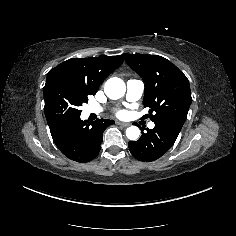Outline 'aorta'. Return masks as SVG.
I'll use <instances>...</instances> for the list:
<instances>
[{
    "label": "aorta",
    "mask_w": 236,
    "mask_h": 236,
    "mask_svg": "<svg viewBox=\"0 0 236 236\" xmlns=\"http://www.w3.org/2000/svg\"><path fill=\"white\" fill-rule=\"evenodd\" d=\"M105 93L110 99L121 98L126 91L124 82L119 78H110L105 84ZM126 136L130 140H137L140 136V130L137 126H130L126 129Z\"/></svg>",
    "instance_id": "aorta-1"
}]
</instances>
